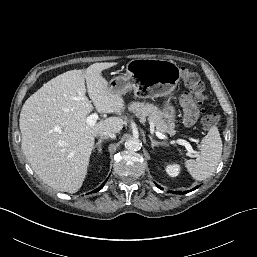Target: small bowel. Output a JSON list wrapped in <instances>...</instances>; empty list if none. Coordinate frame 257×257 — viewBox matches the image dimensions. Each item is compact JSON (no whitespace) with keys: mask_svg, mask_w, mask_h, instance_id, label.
Here are the masks:
<instances>
[{"mask_svg":"<svg viewBox=\"0 0 257 257\" xmlns=\"http://www.w3.org/2000/svg\"><path fill=\"white\" fill-rule=\"evenodd\" d=\"M180 104L183 108L184 123L188 126L194 124L198 117V109L192 97L188 94L183 95L180 99Z\"/></svg>","mask_w":257,"mask_h":257,"instance_id":"obj_1","label":"small bowel"}]
</instances>
